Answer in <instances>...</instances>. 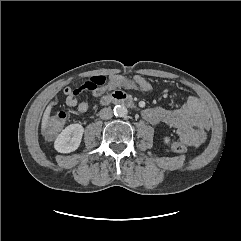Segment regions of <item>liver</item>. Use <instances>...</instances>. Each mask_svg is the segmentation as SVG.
<instances>
[{"label": "liver", "mask_w": 241, "mask_h": 241, "mask_svg": "<svg viewBox=\"0 0 241 241\" xmlns=\"http://www.w3.org/2000/svg\"><path fill=\"white\" fill-rule=\"evenodd\" d=\"M53 105H54V103L51 102L47 106V108H46V110H45V112L43 114L42 123H41V128H42L43 131L46 129V127L48 125L49 118H50V112H51V109H52Z\"/></svg>", "instance_id": "1"}]
</instances>
